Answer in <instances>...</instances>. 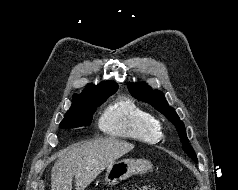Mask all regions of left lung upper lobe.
<instances>
[{"mask_svg":"<svg viewBox=\"0 0 238 190\" xmlns=\"http://www.w3.org/2000/svg\"><path fill=\"white\" fill-rule=\"evenodd\" d=\"M127 85L133 97L151 104L176 126L184 151L195 162H198L195 152L189 144L184 124L180 120L174 108L168 105L164 94L159 90H152L146 83H128Z\"/></svg>","mask_w":238,"mask_h":190,"instance_id":"left-lung-upper-lobe-1","label":"left lung upper lobe"}]
</instances>
